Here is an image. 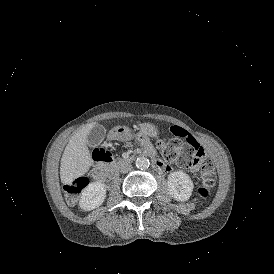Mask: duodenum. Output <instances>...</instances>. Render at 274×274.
<instances>
[{
    "label": "duodenum",
    "mask_w": 274,
    "mask_h": 274,
    "mask_svg": "<svg viewBox=\"0 0 274 274\" xmlns=\"http://www.w3.org/2000/svg\"><path fill=\"white\" fill-rule=\"evenodd\" d=\"M143 154L152 157L151 152H143ZM94 160L101 166L109 169L111 174H115L122 165L127 164L130 161H132L133 157H128L125 159L113 161L110 157H108L104 153L97 152L94 154ZM152 162H153V166L155 167V169H157L159 171H168L169 170V167L164 162H162L161 160H159L156 157H152Z\"/></svg>",
    "instance_id": "duodenum-1"
}]
</instances>
